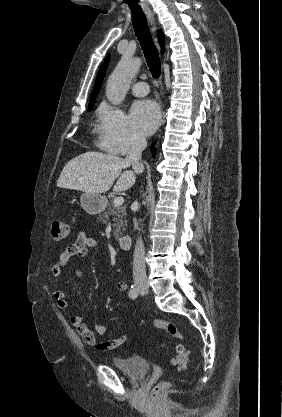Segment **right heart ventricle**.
<instances>
[{
  "mask_svg": "<svg viewBox=\"0 0 282 417\" xmlns=\"http://www.w3.org/2000/svg\"><path fill=\"white\" fill-rule=\"evenodd\" d=\"M105 113H106V108L105 107H100L97 111V114H98L100 119H102V117L104 116Z\"/></svg>",
  "mask_w": 282,
  "mask_h": 417,
  "instance_id": "obj_1",
  "label": "right heart ventricle"
}]
</instances>
